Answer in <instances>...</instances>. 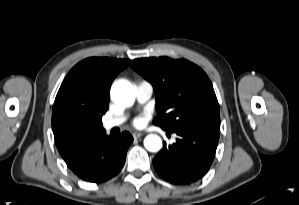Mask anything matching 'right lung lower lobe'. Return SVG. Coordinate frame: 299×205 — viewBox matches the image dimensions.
<instances>
[{
    "instance_id": "98d812e1",
    "label": "right lung lower lobe",
    "mask_w": 299,
    "mask_h": 205,
    "mask_svg": "<svg viewBox=\"0 0 299 205\" xmlns=\"http://www.w3.org/2000/svg\"><path fill=\"white\" fill-rule=\"evenodd\" d=\"M132 141L128 132L113 138L102 131L84 140L64 161L82 180L106 182L121 171Z\"/></svg>"
}]
</instances>
